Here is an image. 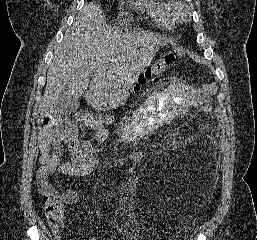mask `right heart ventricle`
Listing matches in <instances>:
<instances>
[{
	"label": "right heart ventricle",
	"instance_id": "obj_1",
	"mask_svg": "<svg viewBox=\"0 0 257 240\" xmlns=\"http://www.w3.org/2000/svg\"><path fill=\"white\" fill-rule=\"evenodd\" d=\"M145 7L148 14H150L160 27L171 29L174 26L175 13L170 3L162 0H148Z\"/></svg>",
	"mask_w": 257,
	"mask_h": 240
}]
</instances>
